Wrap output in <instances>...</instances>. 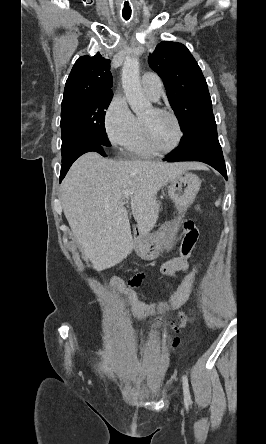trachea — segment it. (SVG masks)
Listing matches in <instances>:
<instances>
[{
	"label": "trachea",
	"instance_id": "obj_1",
	"mask_svg": "<svg viewBox=\"0 0 266 444\" xmlns=\"http://www.w3.org/2000/svg\"><path fill=\"white\" fill-rule=\"evenodd\" d=\"M122 15L126 21L129 20L131 17V8H130L128 2L125 3L124 9L122 11Z\"/></svg>",
	"mask_w": 266,
	"mask_h": 444
}]
</instances>
